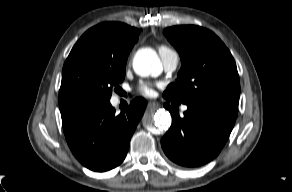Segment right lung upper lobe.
Masks as SVG:
<instances>
[{
  "mask_svg": "<svg viewBox=\"0 0 292 192\" xmlns=\"http://www.w3.org/2000/svg\"><path fill=\"white\" fill-rule=\"evenodd\" d=\"M94 33L112 54L128 56L140 30L119 22H104L87 31Z\"/></svg>",
  "mask_w": 292,
  "mask_h": 192,
  "instance_id": "1",
  "label": "right lung upper lobe"
}]
</instances>
